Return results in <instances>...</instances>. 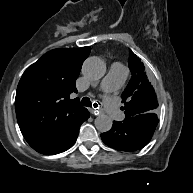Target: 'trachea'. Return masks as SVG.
I'll list each match as a JSON object with an SVG mask.
<instances>
[{"label": "trachea", "instance_id": "1", "mask_svg": "<svg viewBox=\"0 0 193 193\" xmlns=\"http://www.w3.org/2000/svg\"><path fill=\"white\" fill-rule=\"evenodd\" d=\"M81 105L82 106H86V107H91V101L88 97H84L82 100H81ZM94 107L97 108L98 107V104L97 103H94Z\"/></svg>", "mask_w": 193, "mask_h": 193}]
</instances>
